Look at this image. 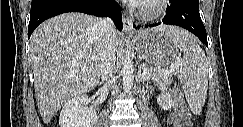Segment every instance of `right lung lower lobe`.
Here are the masks:
<instances>
[{"label":"right lung lower lobe","instance_id":"1","mask_svg":"<svg viewBox=\"0 0 243 127\" xmlns=\"http://www.w3.org/2000/svg\"><path fill=\"white\" fill-rule=\"evenodd\" d=\"M66 12L110 17L118 30L123 28L121 8L114 0H32L28 38L44 20Z\"/></svg>","mask_w":243,"mask_h":127}]
</instances>
